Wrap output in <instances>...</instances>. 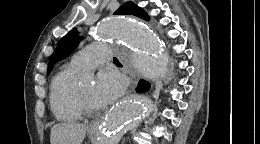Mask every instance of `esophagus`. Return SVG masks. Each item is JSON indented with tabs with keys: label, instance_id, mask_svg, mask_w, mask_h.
Here are the masks:
<instances>
[{
	"label": "esophagus",
	"instance_id": "obj_1",
	"mask_svg": "<svg viewBox=\"0 0 260 144\" xmlns=\"http://www.w3.org/2000/svg\"><path fill=\"white\" fill-rule=\"evenodd\" d=\"M124 73L129 79V91L128 93H131L133 89L135 88L137 84V78L134 75V73L129 72L126 68H124ZM99 127V122H94L93 124L90 125V131H97Z\"/></svg>",
	"mask_w": 260,
	"mask_h": 144
}]
</instances>
